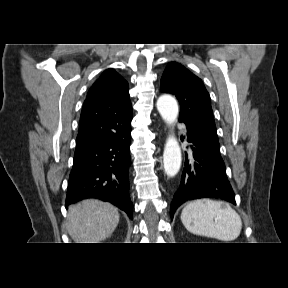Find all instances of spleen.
<instances>
[{
	"instance_id": "1",
	"label": "spleen",
	"mask_w": 288,
	"mask_h": 288,
	"mask_svg": "<svg viewBox=\"0 0 288 288\" xmlns=\"http://www.w3.org/2000/svg\"><path fill=\"white\" fill-rule=\"evenodd\" d=\"M181 221L195 235L222 241L235 240L242 229L241 217L228 203L211 199L188 203L182 210Z\"/></svg>"
}]
</instances>
